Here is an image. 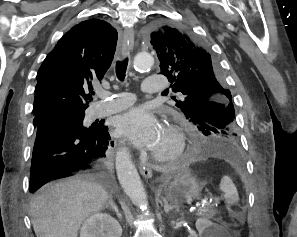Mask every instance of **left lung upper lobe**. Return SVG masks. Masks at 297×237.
I'll use <instances>...</instances> for the list:
<instances>
[{"mask_svg": "<svg viewBox=\"0 0 297 237\" xmlns=\"http://www.w3.org/2000/svg\"><path fill=\"white\" fill-rule=\"evenodd\" d=\"M161 74L181 92L176 101L186 118L205 136L216 135L238 148L235 114L230 91L216 59L207 44L193 35L163 25L151 33Z\"/></svg>", "mask_w": 297, "mask_h": 237, "instance_id": "5c2ea615", "label": "left lung upper lobe"}]
</instances>
